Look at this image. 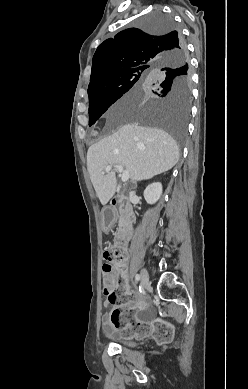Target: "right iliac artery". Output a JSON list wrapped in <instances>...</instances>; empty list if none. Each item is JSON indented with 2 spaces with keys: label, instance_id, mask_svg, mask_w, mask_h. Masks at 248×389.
Instances as JSON below:
<instances>
[{
  "label": "right iliac artery",
  "instance_id": "82829eb1",
  "mask_svg": "<svg viewBox=\"0 0 248 389\" xmlns=\"http://www.w3.org/2000/svg\"><path fill=\"white\" fill-rule=\"evenodd\" d=\"M135 279H136V281H139L140 280V275L136 274Z\"/></svg>",
  "mask_w": 248,
  "mask_h": 389
}]
</instances>
